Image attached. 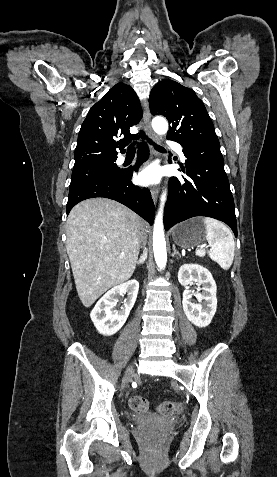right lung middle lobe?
Returning a JSON list of instances; mask_svg holds the SVG:
<instances>
[{
    "instance_id": "1",
    "label": "right lung middle lobe",
    "mask_w": 277,
    "mask_h": 477,
    "mask_svg": "<svg viewBox=\"0 0 277 477\" xmlns=\"http://www.w3.org/2000/svg\"><path fill=\"white\" fill-rule=\"evenodd\" d=\"M115 161L116 160L73 168L69 191L98 177L120 174L122 169L114 163Z\"/></svg>"
}]
</instances>
